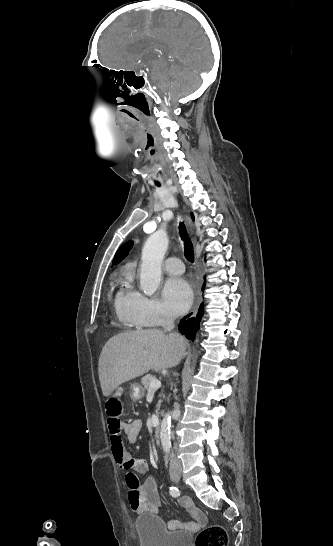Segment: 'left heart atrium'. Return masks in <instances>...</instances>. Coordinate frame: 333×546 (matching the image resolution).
<instances>
[{
    "label": "left heart atrium",
    "instance_id": "left-heart-atrium-1",
    "mask_svg": "<svg viewBox=\"0 0 333 546\" xmlns=\"http://www.w3.org/2000/svg\"><path fill=\"white\" fill-rule=\"evenodd\" d=\"M163 300L171 314L185 312L192 302V290L188 282L180 277L169 278L163 286Z\"/></svg>",
    "mask_w": 333,
    "mask_h": 546
}]
</instances>
